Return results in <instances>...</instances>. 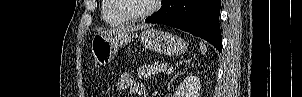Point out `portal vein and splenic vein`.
Segmentation results:
<instances>
[{"label": "portal vein and splenic vein", "mask_w": 302, "mask_h": 97, "mask_svg": "<svg viewBox=\"0 0 302 97\" xmlns=\"http://www.w3.org/2000/svg\"><path fill=\"white\" fill-rule=\"evenodd\" d=\"M173 72V67H169V69L167 70V73H172Z\"/></svg>", "instance_id": "portal-vein-and-splenic-vein-1"}]
</instances>
